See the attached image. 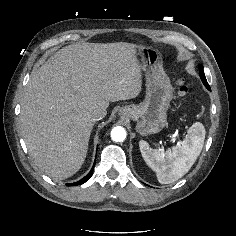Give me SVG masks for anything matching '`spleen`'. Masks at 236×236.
I'll return each mask as SVG.
<instances>
[{"mask_svg":"<svg viewBox=\"0 0 236 236\" xmlns=\"http://www.w3.org/2000/svg\"><path fill=\"white\" fill-rule=\"evenodd\" d=\"M205 140V129L202 123H194L188 130V136L181 145L173 146L166 151L153 149L141 140L139 149L146 164L156 172L161 184H169L183 177L193 166L200 155Z\"/></svg>","mask_w":236,"mask_h":236,"instance_id":"3e777b00","label":"spleen"}]
</instances>
